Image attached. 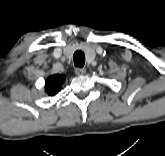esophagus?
Wrapping results in <instances>:
<instances>
[{"mask_svg":"<svg viewBox=\"0 0 165 156\" xmlns=\"http://www.w3.org/2000/svg\"><path fill=\"white\" fill-rule=\"evenodd\" d=\"M75 73L76 75H79V76L84 75L86 73V69L78 67L75 69Z\"/></svg>","mask_w":165,"mask_h":156,"instance_id":"34e87169","label":"esophagus"}]
</instances>
